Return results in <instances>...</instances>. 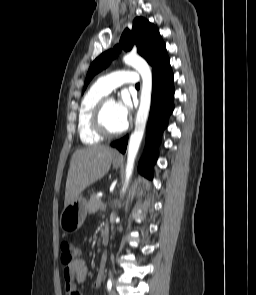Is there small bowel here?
<instances>
[{
    "label": "small bowel",
    "mask_w": 256,
    "mask_h": 295,
    "mask_svg": "<svg viewBox=\"0 0 256 295\" xmlns=\"http://www.w3.org/2000/svg\"><path fill=\"white\" fill-rule=\"evenodd\" d=\"M105 257L102 258L100 270L92 283V288L98 290L102 286ZM88 276V268L83 259H77L63 271L65 295H80L77 286L85 282Z\"/></svg>",
    "instance_id": "small-bowel-1"
}]
</instances>
